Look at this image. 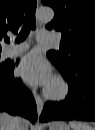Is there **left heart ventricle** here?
Masks as SVG:
<instances>
[{
    "label": "left heart ventricle",
    "mask_w": 95,
    "mask_h": 130,
    "mask_svg": "<svg viewBox=\"0 0 95 130\" xmlns=\"http://www.w3.org/2000/svg\"><path fill=\"white\" fill-rule=\"evenodd\" d=\"M51 88H52V90H56L57 86L56 85H52Z\"/></svg>",
    "instance_id": "b2bd125f"
}]
</instances>
